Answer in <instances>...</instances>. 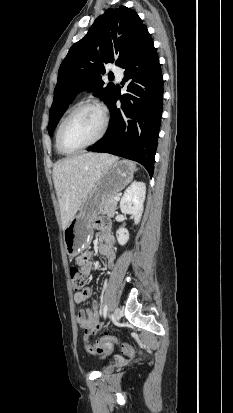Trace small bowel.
<instances>
[{
	"instance_id": "small-bowel-1",
	"label": "small bowel",
	"mask_w": 233,
	"mask_h": 413,
	"mask_svg": "<svg viewBox=\"0 0 233 413\" xmlns=\"http://www.w3.org/2000/svg\"><path fill=\"white\" fill-rule=\"evenodd\" d=\"M96 226L101 229L99 235V251L104 256L106 265L109 269L114 267L115 251H114V239L109 232L108 223L104 220L96 222ZM88 251L82 250L78 256V264L81 267L84 275H89L92 271V263L88 260ZM91 295L89 288L74 293V301L77 304L84 303ZM77 323L84 330L85 337L98 333L103 329L104 325L100 322V311L97 302H92L90 309L79 310L77 313Z\"/></svg>"
}]
</instances>
